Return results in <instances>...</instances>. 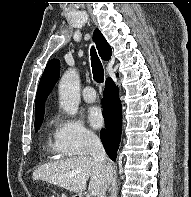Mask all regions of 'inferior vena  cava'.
Masks as SVG:
<instances>
[{"mask_svg": "<svg viewBox=\"0 0 191 197\" xmlns=\"http://www.w3.org/2000/svg\"><path fill=\"white\" fill-rule=\"evenodd\" d=\"M88 147L90 155L98 162L102 163L106 170L109 171L110 164L107 162V155L105 149L101 143V140L98 136L91 134L88 136ZM109 178V174H107V179ZM107 181L103 184L100 192L98 193L97 197H105L106 190H107Z\"/></svg>", "mask_w": 191, "mask_h": 197, "instance_id": "602c4592", "label": "inferior vena cava"}]
</instances>
